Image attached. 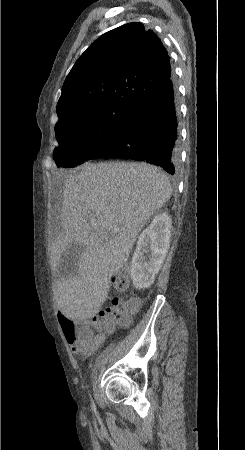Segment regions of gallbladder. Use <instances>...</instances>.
<instances>
[{
  "mask_svg": "<svg viewBox=\"0 0 245 450\" xmlns=\"http://www.w3.org/2000/svg\"><path fill=\"white\" fill-rule=\"evenodd\" d=\"M83 251L84 247L77 243H72L67 246L56 270V274L59 278L68 277L71 274H76L77 262Z\"/></svg>",
  "mask_w": 245,
  "mask_h": 450,
  "instance_id": "gallbladder-1",
  "label": "gallbladder"
}]
</instances>
